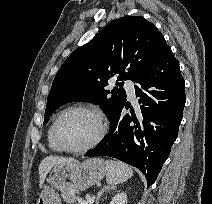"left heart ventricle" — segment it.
Wrapping results in <instances>:
<instances>
[{"label":"left heart ventricle","instance_id":"obj_1","mask_svg":"<svg viewBox=\"0 0 212 204\" xmlns=\"http://www.w3.org/2000/svg\"><path fill=\"white\" fill-rule=\"evenodd\" d=\"M96 118L87 112L74 111L66 114L59 125V134L65 145L79 148L90 143L98 133Z\"/></svg>","mask_w":212,"mask_h":204}]
</instances>
